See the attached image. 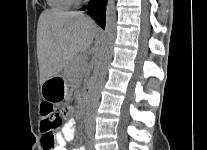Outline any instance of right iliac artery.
<instances>
[{
	"label": "right iliac artery",
	"mask_w": 207,
	"mask_h": 150,
	"mask_svg": "<svg viewBox=\"0 0 207 150\" xmlns=\"http://www.w3.org/2000/svg\"><path fill=\"white\" fill-rule=\"evenodd\" d=\"M87 133L89 134V132H87ZM78 150H85V148L84 147H81Z\"/></svg>",
	"instance_id": "obj_1"
}]
</instances>
